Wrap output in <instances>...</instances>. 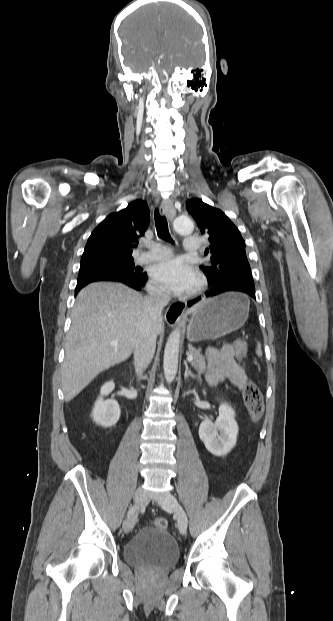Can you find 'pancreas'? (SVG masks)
<instances>
[{"label": "pancreas", "instance_id": "obj_1", "mask_svg": "<svg viewBox=\"0 0 333 621\" xmlns=\"http://www.w3.org/2000/svg\"><path fill=\"white\" fill-rule=\"evenodd\" d=\"M188 349L187 354L192 355L194 358L191 365L199 374H203L207 368L205 357L201 354L199 349H196L191 345L188 346Z\"/></svg>", "mask_w": 333, "mask_h": 621}]
</instances>
